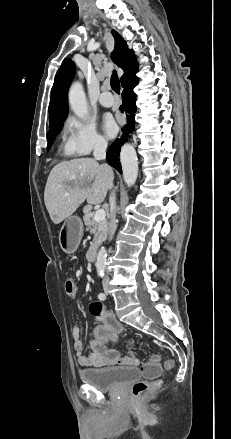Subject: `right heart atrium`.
I'll return each instance as SVG.
<instances>
[{"label": "right heart atrium", "mask_w": 231, "mask_h": 439, "mask_svg": "<svg viewBox=\"0 0 231 439\" xmlns=\"http://www.w3.org/2000/svg\"><path fill=\"white\" fill-rule=\"evenodd\" d=\"M67 133V145L73 155L85 156L107 147L106 139L97 131L91 119L69 118Z\"/></svg>", "instance_id": "right-heart-atrium-1"}]
</instances>
